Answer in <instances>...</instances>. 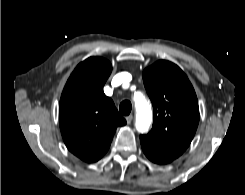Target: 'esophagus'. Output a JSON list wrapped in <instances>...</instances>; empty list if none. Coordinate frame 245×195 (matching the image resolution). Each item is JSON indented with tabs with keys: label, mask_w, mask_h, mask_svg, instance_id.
<instances>
[{
	"label": "esophagus",
	"mask_w": 245,
	"mask_h": 195,
	"mask_svg": "<svg viewBox=\"0 0 245 195\" xmlns=\"http://www.w3.org/2000/svg\"><path fill=\"white\" fill-rule=\"evenodd\" d=\"M132 120H133V116L132 115H129V116L126 117L127 124H131Z\"/></svg>",
	"instance_id": "1"
}]
</instances>
